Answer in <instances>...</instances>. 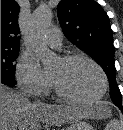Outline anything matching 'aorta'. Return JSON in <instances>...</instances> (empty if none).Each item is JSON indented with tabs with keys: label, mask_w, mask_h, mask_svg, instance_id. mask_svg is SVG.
Returning <instances> with one entry per match:
<instances>
[{
	"label": "aorta",
	"mask_w": 123,
	"mask_h": 130,
	"mask_svg": "<svg viewBox=\"0 0 123 130\" xmlns=\"http://www.w3.org/2000/svg\"><path fill=\"white\" fill-rule=\"evenodd\" d=\"M51 21L52 11L50 8H37L32 15L26 39L27 46L45 66L50 65L54 59V55L48 48L45 39Z\"/></svg>",
	"instance_id": "obj_1"
}]
</instances>
